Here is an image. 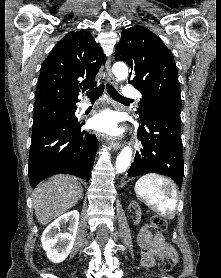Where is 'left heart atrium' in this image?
I'll list each match as a JSON object with an SVG mask.
<instances>
[{
    "mask_svg": "<svg viewBox=\"0 0 221 278\" xmlns=\"http://www.w3.org/2000/svg\"><path fill=\"white\" fill-rule=\"evenodd\" d=\"M92 128L97 131L115 134L118 132L116 118L110 112H104L96 116L91 123Z\"/></svg>",
    "mask_w": 221,
    "mask_h": 278,
    "instance_id": "39dd6f15",
    "label": "left heart atrium"
}]
</instances>
